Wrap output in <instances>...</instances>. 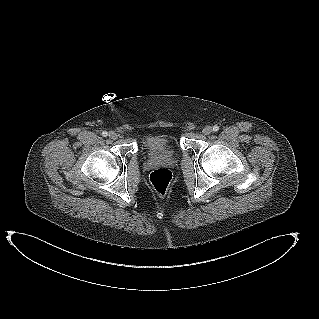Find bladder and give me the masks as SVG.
<instances>
[{"mask_svg": "<svg viewBox=\"0 0 319 319\" xmlns=\"http://www.w3.org/2000/svg\"><path fill=\"white\" fill-rule=\"evenodd\" d=\"M140 146L149 157L173 156L176 153L173 138L164 134L147 136L141 141Z\"/></svg>", "mask_w": 319, "mask_h": 319, "instance_id": "bladder-1", "label": "bladder"}]
</instances>
